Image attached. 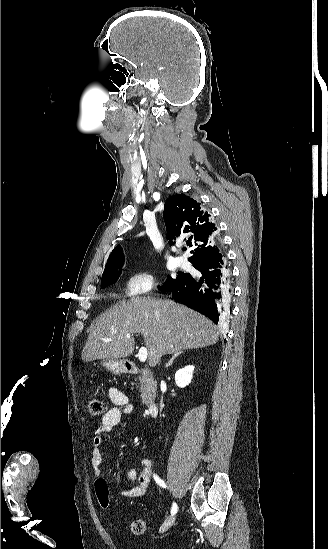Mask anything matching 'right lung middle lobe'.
Masks as SVG:
<instances>
[{
    "mask_svg": "<svg viewBox=\"0 0 328 549\" xmlns=\"http://www.w3.org/2000/svg\"><path fill=\"white\" fill-rule=\"evenodd\" d=\"M123 263H124V260H122L121 262L113 265L111 268L107 269L103 273L102 280H101V288H104V287L108 286L109 284L115 282L118 279V277L121 274L120 268L123 266ZM189 275L190 274H188V273L179 272L177 274L176 278L173 279L172 277H168L166 282L164 283V285L158 286V288L160 290H163L164 288H167V287L171 286L172 284H174L178 281H181L182 279L186 278Z\"/></svg>",
    "mask_w": 328,
    "mask_h": 549,
    "instance_id": "dd1d6c3e",
    "label": "right lung middle lobe"
}]
</instances>
